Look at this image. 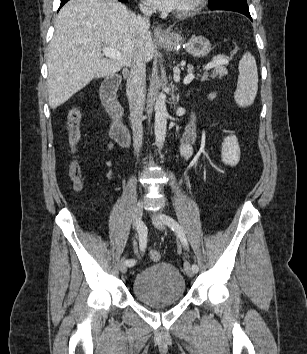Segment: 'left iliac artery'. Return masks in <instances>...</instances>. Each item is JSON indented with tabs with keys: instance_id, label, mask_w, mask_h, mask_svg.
<instances>
[{
	"instance_id": "44dca946",
	"label": "left iliac artery",
	"mask_w": 307,
	"mask_h": 354,
	"mask_svg": "<svg viewBox=\"0 0 307 354\" xmlns=\"http://www.w3.org/2000/svg\"><path fill=\"white\" fill-rule=\"evenodd\" d=\"M161 217H162V220L164 221V223L166 225H168L179 236L185 249H188V242H187L186 236L184 234L182 227L178 224V222L175 219H173L172 217L165 215V214L161 215ZM192 270H193V272L197 273L199 271V267L196 264H193Z\"/></svg>"
}]
</instances>
